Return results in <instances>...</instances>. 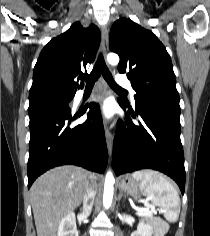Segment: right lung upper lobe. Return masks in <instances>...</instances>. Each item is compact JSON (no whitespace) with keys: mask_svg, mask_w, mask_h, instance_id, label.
Returning a JSON list of instances; mask_svg holds the SVG:
<instances>
[{"mask_svg":"<svg viewBox=\"0 0 210 236\" xmlns=\"http://www.w3.org/2000/svg\"><path fill=\"white\" fill-rule=\"evenodd\" d=\"M99 43V29L95 25L84 28L79 22L53 38L41 51L34 67L29 100L43 90L75 93L76 76L82 67L94 61Z\"/></svg>","mask_w":210,"mask_h":236,"instance_id":"1","label":"right lung upper lobe"}]
</instances>
